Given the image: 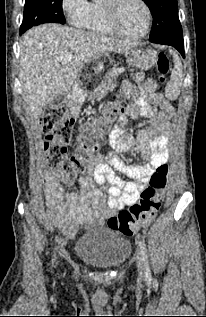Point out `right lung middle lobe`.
<instances>
[{"mask_svg":"<svg viewBox=\"0 0 206 317\" xmlns=\"http://www.w3.org/2000/svg\"><path fill=\"white\" fill-rule=\"evenodd\" d=\"M48 22L65 23L62 0H26L20 33Z\"/></svg>","mask_w":206,"mask_h":317,"instance_id":"right-lung-middle-lobe-1","label":"right lung middle lobe"}]
</instances>
